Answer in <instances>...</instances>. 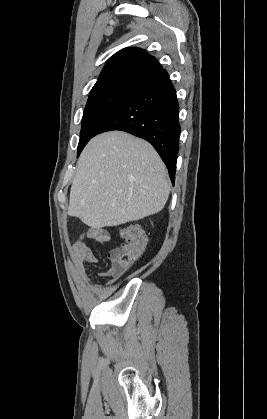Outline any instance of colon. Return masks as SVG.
Instances as JSON below:
<instances>
[{"label": "colon", "instance_id": "obj_1", "mask_svg": "<svg viewBox=\"0 0 267 419\" xmlns=\"http://www.w3.org/2000/svg\"><path fill=\"white\" fill-rule=\"evenodd\" d=\"M123 244L109 254L111 271L116 274L125 272L143 254L146 238L141 227L136 223H129L120 230Z\"/></svg>", "mask_w": 267, "mask_h": 419}]
</instances>
